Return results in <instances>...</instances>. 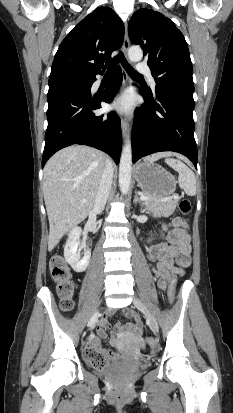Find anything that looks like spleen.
<instances>
[{
    "mask_svg": "<svg viewBox=\"0 0 233 413\" xmlns=\"http://www.w3.org/2000/svg\"><path fill=\"white\" fill-rule=\"evenodd\" d=\"M165 162L179 174L178 183L188 196L196 194V177L194 172L178 159L169 158Z\"/></svg>",
    "mask_w": 233,
    "mask_h": 413,
    "instance_id": "1",
    "label": "spleen"
}]
</instances>
